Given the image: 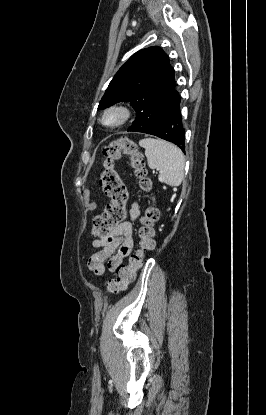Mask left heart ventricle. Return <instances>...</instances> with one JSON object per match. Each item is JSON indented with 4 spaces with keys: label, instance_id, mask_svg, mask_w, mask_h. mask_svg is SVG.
Masks as SVG:
<instances>
[{
    "label": "left heart ventricle",
    "instance_id": "b2bd125f",
    "mask_svg": "<svg viewBox=\"0 0 266 415\" xmlns=\"http://www.w3.org/2000/svg\"><path fill=\"white\" fill-rule=\"evenodd\" d=\"M114 120V117H109L108 118V121H113Z\"/></svg>",
    "mask_w": 266,
    "mask_h": 415
}]
</instances>
